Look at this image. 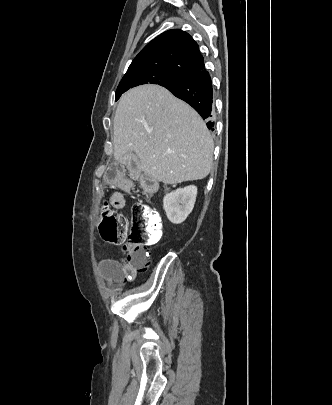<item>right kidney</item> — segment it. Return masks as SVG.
Instances as JSON below:
<instances>
[{"instance_id":"obj_1","label":"right kidney","mask_w":332,"mask_h":405,"mask_svg":"<svg viewBox=\"0 0 332 405\" xmlns=\"http://www.w3.org/2000/svg\"><path fill=\"white\" fill-rule=\"evenodd\" d=\"M197 196L196 186L178 188L163 198V208L173 224H180L192 212Z\"/></svg>"}]
</instances>
